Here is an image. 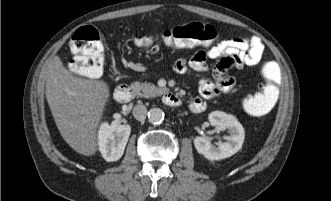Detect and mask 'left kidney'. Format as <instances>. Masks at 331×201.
<instances>
[{"label": "left kidney", "mask_w": 331, "mask_h": 201, "mask_svg": "<svg viewBox=\"0 0 331 201\" xmlns=\"http://www.w3.org/2000/svg\"><path fill=\"white\" fill-rule=\"evenodd\" d=\"M209 121L220 130L227 129L230 135L225 137L226 142H219L217 147L211 144L207 137H195L194 146L197 152L211 161L225 159L237 153L245 137L244 128L240 122L234 116L221 111L211 112Z\"/></svg>", "instance_id": "1"}]
</instances>
